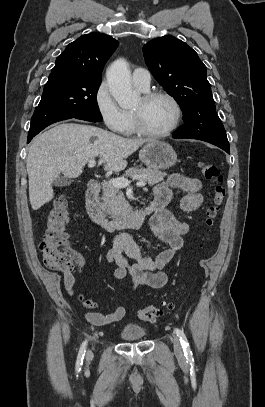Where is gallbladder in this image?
I'll return each mask as SVG.
<instances>
[{"label": "gallbladder", "instance_id": "1", "mask_svg": "<svg viewBox=\"0 0 265 407\" xmlns=\"http://www.w3.org/2000/svg\"><path fill=\"white\" fill-rule=\"evenodd\" d=\"M73 181L67 177H59L54 181V185L57 187H64L71 184Z\"/></svg>", "mask_w": 265, "mask_h": 407}]
</instances>
